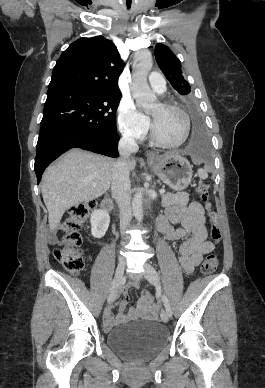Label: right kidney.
Returning <instances> with one entry per match:
<instances>
[{
    "mask_svg": "<svg viewBox=\"0 0 265 388\" xmlns=\"http://www.w3.org/2000/svg\"><path fill=\"white\" fill-rule=\"evenodd\" d=\"M93 238H103L110 224V216L105 210H94L90 218Z\"/></svg>",
    "mask_w": 265,
    "mask_h": 388,
    "instance_id": "ca27d5eb",
    "label": "right kidney"
}]
</instances>
